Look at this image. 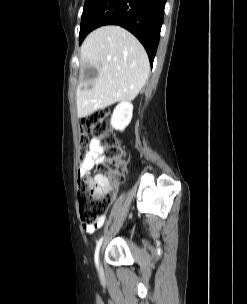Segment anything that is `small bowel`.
Returning <instances> with one entry per match:
<instances>
[{
	"instance_id": "small-bowel-1",
	"label": "small bowel",
	"mask_w": 247,
	"mask_h": 304,
	"mask_svg": "<svg viewBox=\"0 0 247 304\" xmlns=\"http://www.w3.org/2000/svg\"><path fill=\"white\" fill-rule=\"evenodd\" d=\"M104 148L101 143L93 139L89 145V151L87 155L83 158L79 170L78 176L83 177L87 176L91 173L94 166L99 165L103 162ZM104 223V218L101 217L95 224L92 225H84V229L87 233L92 234L97 228H100Z\"/></svg>"
}]
</instances>
